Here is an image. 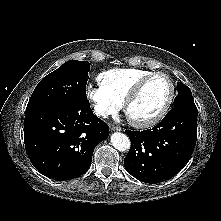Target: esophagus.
<instances>
[{"instance_id":"1","label":"esophagus","mask_w":221,"mask_h":221,"mask_svg":"<svg viewBox=\"0 0 221 221\" xmlns=\"http://www.w3.org/2000/svg\"><path fill=\"white\" fill-rule=\"evenodd\" d=\"M109 128L111 131H120L121 130V128L119 126H115V125H111Z\"/></svg>"}]
</instances>
